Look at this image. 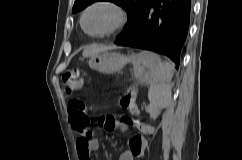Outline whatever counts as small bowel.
Instances as JSON below:
<instances>
[{
  "instance_id": "1",
  "label": "small bowel",
  "mask_w": 242,
  "mask_h": 160,
  "mask_svg": "<svg viewBox=\"0 0 242 160\" xmlns=\"http://www.w3.org/2000/svg\"><path fill=\"white\" fill-rule=\"evenodd\" d=\"M70 122L73 128L82 133V136L77 140V153L79 160H91V153L99 148V142L97 139L90 136L87 128L76 127L72 115L68 109ZM101 125L106 131H119L126 132L129 126H134L143 132L149 131V128L144 123L135 121L133 124L118 121L113 116H105L101 120ZM127 149L120 155L119 160H135L142 158L145 153L146 139L141 133L131 134L126 141Z\"/></svg>"
}]
</instances>
